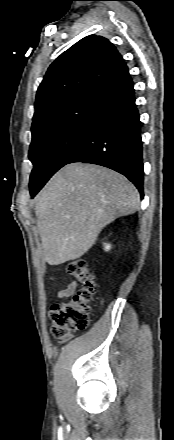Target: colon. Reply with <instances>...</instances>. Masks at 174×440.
<instances>
[{
	"label": "colon",
	"instance_id": "5ec220e1",
	"mask_svg": "<svg viewBox=\"0 0 174 440\" xmlns=\"http://www.w3.org/2000/svg\"><path fill=\"white\" fill-rule=\"evenodd\" d=\"M68 272L83 286L67 300L50 308L51 333L60 343L68 341L72 331L83 330L88 326L90 302L95 295L96 287L94 276L85 261H70Z\"/></svg>",
	"mask_w": 174,
	"mask_h": 440
}]
</instances>
